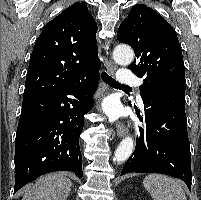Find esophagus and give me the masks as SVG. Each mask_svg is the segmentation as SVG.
<instances>
[{
	"instance_id": "esophagus-1",
	"label": "esophagus",
	"mask_w": 201,
	"mask_h": 200,
	"mask_svg": "<svg viewBox=\"0 0 201 200\" xmlns=\"http://www.w3.org/2000/svg\"><path fill=\"white\" fill-rule=\"evenodd\" d=\"M106 69L110 75H114L117 70V66L111 60H109L107 63ZM128 130H129L128 123L119 122L117 124V129H116L117 137L119 138L124 137L128 133Z\"/></svg>"
}]
</instances>
